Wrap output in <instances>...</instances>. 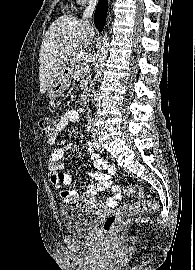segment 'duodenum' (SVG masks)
Wrapping results in <instances>:
<instances>
[{
	"label": "duodenum",
	"mask_w": 195,
	"mask_h": 270,
	"mask_svg": "<svg viewBox=\"0 0 195 270\" xmlns=\"http://www.w3.org/2000/svg\"><path fill=\"white\" fill-rule=\"evenodd\" d=\"M65 76H66V77L69 76V71H68V70H65ZM86 99H87V95H86V93L84 92V93L82 94V100H83V101H86Z\"/></svg>",
	"instance_id": "duodenum-1"
}]
</instances>
